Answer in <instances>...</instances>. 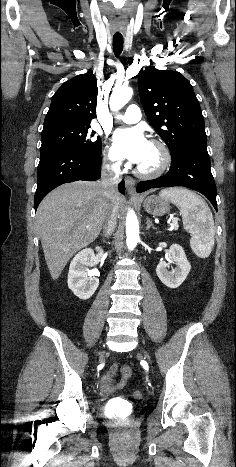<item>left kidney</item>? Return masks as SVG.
Wrapping results in <instances>:
<instances>
[{
  "label": "left kidney",
  "instance_id": "obj_1",
  "mask_svg": "<svg viewBox=\"0 0 236 467\" xmlns=\"http://www.w3.org/2000/svg\"><path fill=\"white\" fill-rule=\"evenodd\" d=\"M169 253V262H174L176 264V268L170 272L167 269L169 267V263L161 261L157 265L156 273L164 285L175 289L184 282L191 270V265L187 260L184 249L180 245H171Z\"/></svg>",
  "mask_w": 236,
  "mask_h": 467
}]
</instances>
